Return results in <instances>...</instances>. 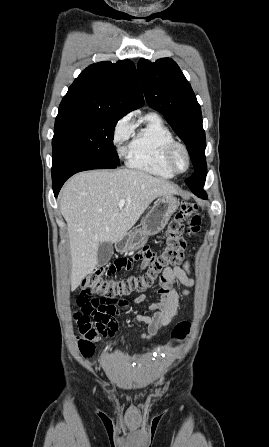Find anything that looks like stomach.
<instances>
[{"mask_svg":"<svg viewBox=\"0 0 269 447\" xmlns=\"http://www.w3.org/2000/svg\"><path fill=\"white\" fill-rule=\"evenodd\" d=\"M179 200L174 196H159L149 214L145 216L142 227L133 229L125 235L121 245L116 243L118 251H134L145 245L148 235L159 233L169 222L172 214L178 210Z\"/></svg>","mask_w":269,"mask_h":447,"instance_id":"obj_1","label":"stomach"}]
</instances>
